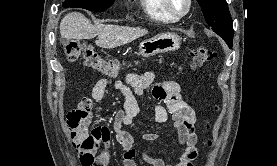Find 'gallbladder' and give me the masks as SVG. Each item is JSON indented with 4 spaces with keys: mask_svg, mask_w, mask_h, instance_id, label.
Returning <instances> with one entry per match:
<instances>
[{
    "mask_svg": "<svg viewBox=\"0 0 277 166\" xmlns=\"http://www.w3.org/2000/svg\"><path fill=\"white\" fill-rule=\"evenodd\" d=\"M61 43H62V45L65 46L68 43V40L67 39H61Z\"/></svg>",
    "mask_w": 277,
    "mask_h": 166,
    "instance_id": "obj_1",
    "label": "gallbladder"
}]
</instances>
